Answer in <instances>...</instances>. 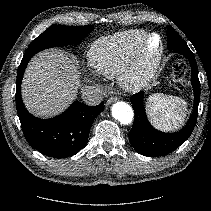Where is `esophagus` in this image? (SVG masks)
I'll return each mask as SVG.
<instances>
[{
	"instance_id": "1",
	"label": "esophagus",
	"mask_w": 211,
	"mask_h": 211,
	"mask_svg": "<svg viewBox=\"0 0 211 211\" xmlns=\"http://www.w3.org/2000/svg\"><path fill=\"white\" fill-rule=\"evenodd\" d=\"M117 100H118V98H117L116 96L110 97V98L107 100L106 104L109 105V104H111V103H113V102H115V101H117Z\"/></svg>"
}]
</instances>
